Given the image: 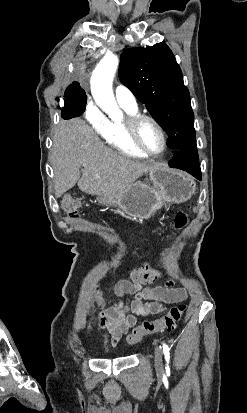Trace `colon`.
Instances as JSON below:
<instances>
[{"mask_svg": "<svg viewBox=\"0 0 247 413\" xmlns=\"http://www.w3.org/2000/svg\"><path fill=\"white\" fill-rule=\"evenodd\" d=\"M62 209L71 219L79 216L78 210L81 206L79 200L71 197H66L62 202ZM188 215L184 213L176 214L174 216L175 226L179 229L186 227V221ZM169 240L173 239L172 235L168 236ZM161 277V270L158 267H154L151 262H144L141 265V269H136L133 272V279L140 286H147L151 280H158ZM186 305L179 304L172 307L167 314L157 319L143 320L141 324L135 327L132 333L128 336L127 342L130 344L140 342L145 336L160 332L163 330H172L182 320L185 312Z\"/></svg>", "mask_w": 247, "mask_h": 413, "instance_id": "5ec220e1", "label": "colon"}]
</instances>
